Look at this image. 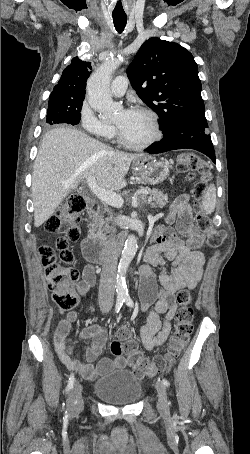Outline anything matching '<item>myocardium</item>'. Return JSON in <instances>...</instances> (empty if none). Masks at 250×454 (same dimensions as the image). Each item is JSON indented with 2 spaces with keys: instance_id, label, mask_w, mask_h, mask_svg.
Segmentation results:
<instances>
[{
  "instance_id": "f54148a6",
  "label": "myocardium",
  "mask_w": 250,
  "mask_h": 454,
  "mask_svg": "<svg viewBox=\"0 0 250 454\" xmlns=\"http://www.w3.org/2000/svg\"><path fill=\"white\" fill-rule=\"evenodd\" d=\"M129 111H138V112H142V113L148 115L153 124V135L143 143H140V144L131 143L125 139L120 128L117 125H115L116 136H117V139L120 144H122L124 147H126L128 149L139 151V150H145V149L151 147L152 145H154L157 141H159L161 139L162 131H161L159 117L152 109L144 107V106H136Z\"/></svg>"
}]
</instances>
